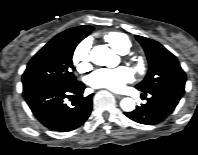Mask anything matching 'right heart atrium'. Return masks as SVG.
Returning a JSON list of instances; mask_svg holds the SVG:
<instances>
[{
  "label": "right heart atrium",
  "mask_w": 198,
  "mask_h": 155,
  "mask_svg": "<svg viewBox=\"0 0 198 155\" xmlns=\"http://www.w3.org/2000/svg\"><path fill=\"white\" fill-rule=\"evenodd\" d=\"M90 46V41L86 39L79 43L73 52L72 61L79 72H86L91 67Z\"/></svg>",
  "instance_id": "obj_1"
}]
</instances>
